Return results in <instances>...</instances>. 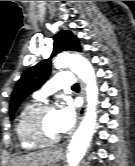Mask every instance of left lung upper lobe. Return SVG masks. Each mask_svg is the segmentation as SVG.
<instances>
[{
	"label": "left lung upper lobe",
	"mask_w": 135,
	"mask_h": 166,
	"mask_svg": "<svg viewBox=\"0 0 135 166\" xmlns=\"http://www.w3.org/2000/svg\"><path fill=\"white\" fill-rule=\"evenodd\" d=\"M66 50L81 52V47L78 38H76L70 31L62 30L54 37V46L51 57ZM50 58L30 67L17 82L10 101L11 119L14 118V113L21 101L27 95L40 88L50 75Z\"/></svg>",
	"instance_id": "1"
}]
</instances>
